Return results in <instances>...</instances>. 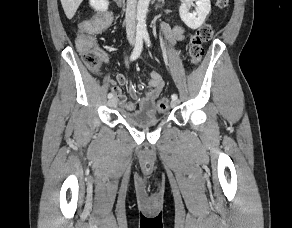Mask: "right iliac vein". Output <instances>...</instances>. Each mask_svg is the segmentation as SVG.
<instances>
[{"instance_id":"1","label":"right iliac vein","mask_w":292,"mask_h":228,"mask_svg":"<svg viewBox=\"0 0 292 228\" xmlns=\"http://www.w3.org/2000/svg\"><path fill=\"white\" fill-rule=\"evenodd\" d=\"M117 101H116V98H111L109 101H108V105L110 107H114L116 105Z\"/></svg>"}]
</instances>
